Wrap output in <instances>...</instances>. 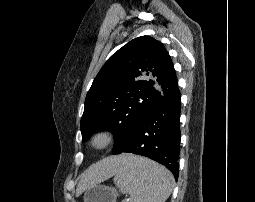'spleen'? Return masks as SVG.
Masks as SVG:
<instances>
[{"instance_id": "1", "label": "spleen", "mask_w": 255, "mask_h": 202, "mask_svg": "<svg viewBox=\"0 0 255 202\" xmlns=\"http://www.w3.org/2000/svg\"><path fill=\"white\" fill-rule=\"evenodd\" d=\"M114 175V183L131 202H165L174 187L172 173L144 157L131 155Z\"/></svg>"}]
</instances>
